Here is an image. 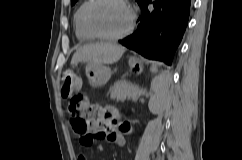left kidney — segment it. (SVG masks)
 Masks as SVG:
<instances>
[{
  "label": "left kidney",
  "mask_w": 242,
  "mask_h": 160,
  "mask_svg": "<svg viewBox=\"0 0 242 160\" xmlns=\"http://www.w3.org/2000/svg\"><path fill=\"white\" fill-rule=\"evenodd\" d=\"M149 110L153 113V114H157L160 111V107L159 105L154 103V98H152L149 102Z\"/></svg>",
  "instance_id": "1"
}]
</instances>
